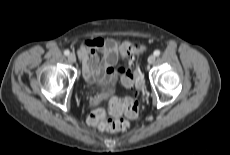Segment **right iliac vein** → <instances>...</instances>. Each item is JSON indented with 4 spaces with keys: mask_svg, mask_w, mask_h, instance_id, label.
I'll list each match as a JSON object with an SVG mask.
<instances>
[{
    "mask_svg": "<svg viewBox=\"0 0 230 155\" xmlns=\"http://www.w3.org/2000/svg\"><path fill=\"white\" fill-rule=\"evenodd\" d=\"M68 61L70 63H75L76 62V56L74 54H69L68 55Z\"/></svg>",
    "mask_w": 230,
    "mask_h": 155,
    "instance_id": "63e3f726",
    "label": "right iliac vein"
}]
</instances>
